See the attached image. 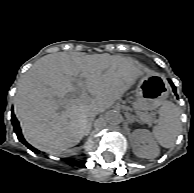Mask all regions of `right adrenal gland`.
<instances>
[{"label":"right adrenal gland","instance_id":"obj_1","mask_svg":"<svg viewBox=\"0 0 194 193\" xmlns=\"http://www.w3.org/2000/svg\"><path fill=\"white\" fill-rule=\"evenodd\" d=\"M93 120H94L93 118H90V119L88 120L87 130H86L85 135H88V133L90 132L91 127H92V121H93Z\"/></svg>","mask_w":194,"mask_h":193}]
</instances>
